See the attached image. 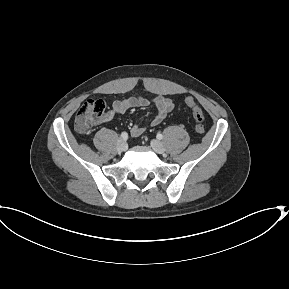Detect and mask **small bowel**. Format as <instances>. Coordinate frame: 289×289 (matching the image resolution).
Wrapping results in <instances>:
<instances>
[{
  "mask_svg": "<svg viewBox=\"0 0 289 289\" xmlns=\"http://www.w3.org/2000/svg\"><path fill=\"white\" fill-rule=\"evenodd\" d=\"M154 106L156 109L155 116L149 122L150 127L159 125L165 117L173 111L174 103L170 98L164 96H157L153 99H146L142 96L133 95L120 100H116L112 103L111 109L104 114L101 121H110L114 116L124 114L127 110L134 107H148ZM145 126L141 124H135L131 127V135L139 136L145 131Z\"/></svg>",
  "mask_w": 289,
  "mask_h": 289,
  "instance_id": "c3829d8e",
  "label": "small bowel"
}]
</instances>
